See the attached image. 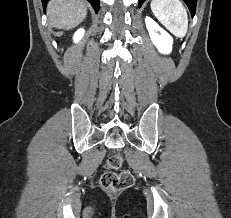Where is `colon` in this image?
Instances as JSON below:
<instances>
[{
	"mask_svg": "<svg viewBox=\"0 0 231 218\" xmlns=\"http://www.w3.org/2000/svg\"><path fill=\"white\" fill-rule=\"evenodd\" d=\"M124 159L121 154L113 153L106 161V170L100 177V186L103 190L111 193L131 187L134 183V177L128 170L116 173L114 170L123 165Z\"/></svg>",
	"mask_w": 231,
	"mask_h": 218,
	"instance_id": "obj_1",
	"label": "colon"
}]
</instances>
